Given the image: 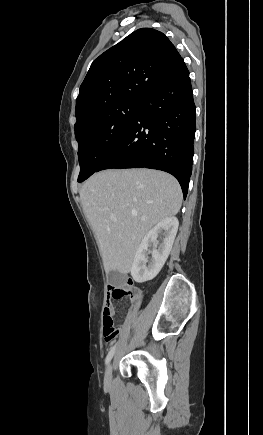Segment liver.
Wrapping results in <instances>:
<instances>
[{"label":"liver","mask_w":263,"mask_h":435,"mask_svg":"<svg viewBox=\"0 0 263 435\" xmlns=\"http://www.w3.org/2000/svg\"><path fill=\"white\" fill-rule=\"evenodd\" d=\"M80 199L106 272L127 274L148 231L179 212L182 191L178 181L162 171L110 169L86 180Z\"/></svg>","instance_id":"6515ba94"}]
</instances>
